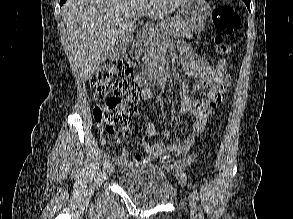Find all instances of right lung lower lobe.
Here are the masks:
<instances>
[{
	"label": "right lung lower lobe",
	"mask_w": 293,
	"mask_h": 219,
	"mask_svg": "<svg viewBox=\"0 0 293 219\" xmlns=\"http://www.w3.org/2000/svg\"><path fill=\"white\" fill-rule=\"evenodd\" d=\"M66 0H60V7L62 6L63 3H65Z\"/></svg>",
	"instance_id": "1"
}]
</instances>
